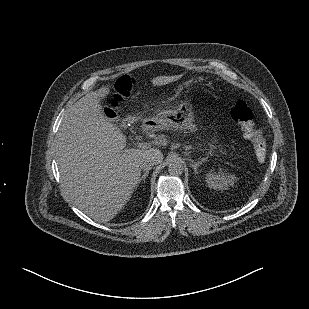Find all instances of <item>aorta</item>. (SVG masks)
I'll return each instance as SVG.
<instances>
[{
  "mask_svg": "<svg viewBox=\"0 0 309 309\" xmlns=\"http://www.w3.org/2000/svg\"><path fill=\"white\" fill-rule=\"evenodd\" d=\"M168 172L173 176H179L184 172V162L182 159L175 157L169 161Z\"/></svg>",
  "mask_w": 309,
  "mask_h": 309,
  "instance_id": "obj_1",
  "label": "aorta"
}]
</instances>
